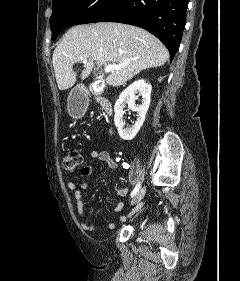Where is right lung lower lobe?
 Instances as JSON below:
<instances>
[{
    "label": "right lung lower lobe",
    "instance_id": "right-lung-lower-lobe-1",
    "mask_svg": "<svg viewBox=\"0 0 240 281\" xmlns=\"http://www.w3.org/2000/svg\"><path fill=\"white\" fill-rule=\"evenodd\" d=\"M188 0H118L95 22H119L149 31L168 48L170 60L178 51Z\"/></svg>",
    "mask_w": 240,
    "mask_h": 281
}]
</instances>
